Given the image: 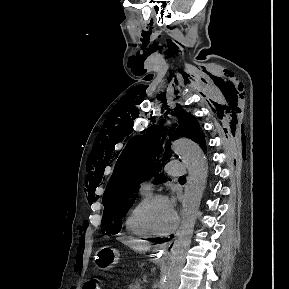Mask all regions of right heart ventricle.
<instances>
[{
  "mask_svg": "<svg viewBox=\"0 0 289 289\" xmlns=\"http://www.w3.org/2000/svg\"><path fill=\"white\" fill-rule=\"evenodd\" d=\"M151 193L140 190L139 197L125 216V228L128 233L139 238H151L152 236L145 229L141 221L143 207L151 196Z\"/></svg>",
  "mask_w": 289,
  "mask_h": 289,
  "instance_id": "e07e8e85",
  "label": "right heart ventricle"
}]
</instances>
